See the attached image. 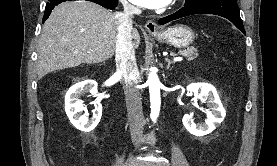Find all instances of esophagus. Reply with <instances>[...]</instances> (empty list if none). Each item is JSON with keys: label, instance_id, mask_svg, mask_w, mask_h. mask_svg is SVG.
Returning <instances> with one entry per match:
<instances>
[{"label": "esophagus", "instance_id": "34e87169", "mask_svg": "<svg viewBox=\"0 0 277 166\" xmlns=\"http://www.w3.org/2000/svg\"><path fill=\"white\" fill-rule=\"evenodd\" d=\"M145 28L148 31L149 34H158L161 32V29L157 26V24L155 22H153L152 20H148L145 23Z\"/></svg>", "mask_w": 277, "mask_h": 166}]
</instances>
